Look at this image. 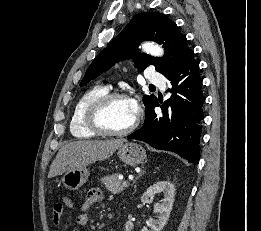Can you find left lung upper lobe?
<instances>
[{
  "instance_id": "5c2ea615",
  "label": "left lung upper lobe",
  "mask_w": 261,
  "mask_h": 231,
  "mask_svg": "<svg viewBox=\"0 0 261 231\" xmlns=\"http://www.w3.org/2000/svg\"><path fill=\"white\" fill-rule=\"evenodd\" d=\"M145 40L162 44L165 56L156 58L147 54H137L135 65L141 71L149 65H154L158 72L166 76L194 54L187 45L186 37L172 20L157 12L140 13L135 15L125 29L94 59L80 86L85 85L108 70L114 63L135 52L138 44ZM156 100L157 98L153 94L144 95L145 110Z\"/></svg>"
}]
</instances>
